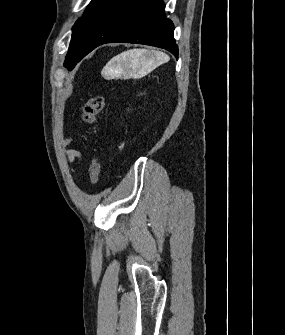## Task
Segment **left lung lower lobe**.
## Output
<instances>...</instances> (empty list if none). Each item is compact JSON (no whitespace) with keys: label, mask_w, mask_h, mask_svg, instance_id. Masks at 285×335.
<instances>
[{"label":"left lung lower lobe","mask_w":285,"mask_h":335,"mask_svg":"<svg viewBox=\"0 0 285 335\" xmlns=\"http://www.w3.org/2000/svg\"><path fill=\"white\" fill-rule=\"evenodd\" d=\"M162 0H111L85 34L80 60L101 44L126 42L164 48L178 58L174 25Z\"/></svg>","instance_id":"left-lung-lower-lobe-1"}]
</instances>
